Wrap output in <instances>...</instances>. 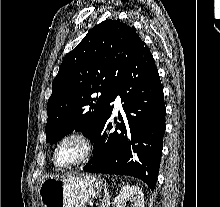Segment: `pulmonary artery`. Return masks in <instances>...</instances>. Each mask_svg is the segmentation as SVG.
I'll use <instances>...</instances> for the list:
<instances>
[{
	"label": "pulmonary artery",
	"instance_id": "e3ab8cb5",
	"mask_svg": "<svg viewBox=\"0 0 220 207\" xmlns=\"http://www.w3.org/2000/svg\"><path fill=\"white\" fill-rule=\"evenodd\" d=\"M121 99H120V96L118 95L115 99V108L116 109H120L121 108Z\"/></svg>",
	"mask_w": 220,
	"mask_h": 207
}]
</instances>
